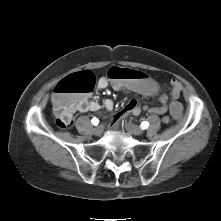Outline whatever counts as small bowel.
<instances>
[{"instance_id":"small-bowel-1","label":"small bowel","mask_w":221,"mask_h":221,"mask_svg":"<svg viewBox=\"0 0 221 221\" xmlns=\"http://www.w3.org/2000/svg\"><path fill=\"white\" fill-rule=\"evenodd\" d=\"M171 84V94H170V100H178V98L180 97L181 91H182V85L179 81L173 79L170 82ZM108 86H111L114 90H129V91H133L129 89L127 86H124L123 84L120 83H113L110 82L106 77H100L99 80L97 81V88L99 90H103L105 88H107ZM92 95L90 93L81 95L77 102V112L75 114V116L77 114H81V113H85L88 111L91 112H97L100 110L101 106L97 101H94L91 99ZM157 98L158 101L163 104L160 107L157 108H151L149 109L150 113H157L160 115H164L167 111L170 112L169 110V105H167L166 103L169 100V96L166 93L163 92H158L157 93ZM169 104V103H168ZM113 101L112 100H106L104 102V108L108 111L113 109ZM142 110V107L138 104V102L136 100H131L128 102V104L123 108L122 111H120L119 113H117L113 119L112 125L115 127L118 125V123L122 120H124L125 118H127L129 115H138ZM163 122H168V117L164 116L163 117Z\"/></svg>"}]
</instances>
